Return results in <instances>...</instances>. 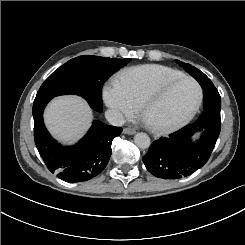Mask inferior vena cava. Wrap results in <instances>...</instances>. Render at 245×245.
Instances as JSON below:
<instances>
[{"label":"inferior vena cava","instance_id":"obj_1","mask_svg":"<svg viewBox=\"0 0 245 245\" xmlns=\"http://www.w3.org/2000/svg\"><path fill=\"white\" fill-rule=\"evenodd\" d=\"M105 117L107 121L114 126H122L125 123L122 113L117 110H107L105 112Z\"/></svg>","mask_w":245,"mask_h":245}]
</instances>
